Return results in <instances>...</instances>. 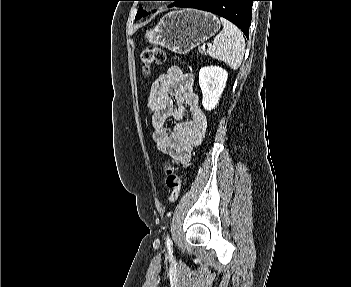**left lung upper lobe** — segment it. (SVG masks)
Masks as SVG:
<instances>
[{"mask_svg":"<svg viewBox=\"0 0 351 287\" xmlns=\"http://www.w3.org/2000/svg\"><path fill=\"white\" fill-rule=\"evenodd\" d=\"M141 1H143V0H141ZM169 1H174V3H173L172 5H170V6H174V5L177 4L180 0H169ZM146 15H147V12L144 11L143 8H142V6L140 5V6H139V9H138V12H137V15H136V17H135V20H138V19H140V18H142V17H144V16H146Z\"/></svg>","mask_w":351,"mask_h":287,"instance_id":"5c2ea615","label":"left lung upper lobe"}]
</instances>
